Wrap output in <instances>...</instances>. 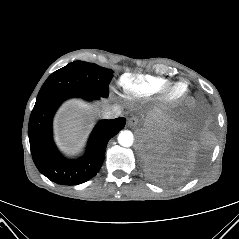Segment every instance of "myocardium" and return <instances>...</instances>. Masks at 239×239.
<instances>
[{
	"label": "myocardium",
	"instance_id": "1",
	"mask_svg": "<svg viewBox=\"0 0 239 239\" xmlns=\"http://www.w3.org/2000/svg\"><path fill=\"white\" fill-rule=\"evenodd\" d=\"M189 87L184 81L171 83L160 92L159 101L163 106L173 107L180 104L188 95Z\"/></svg>",
	"mask_w": 239,
	"mask_h": 239
}]
</instances>
